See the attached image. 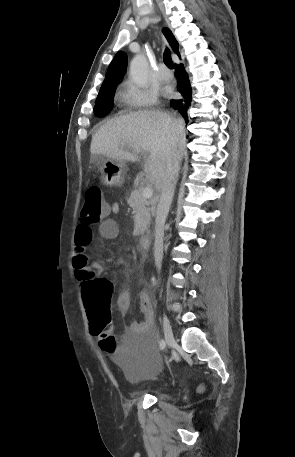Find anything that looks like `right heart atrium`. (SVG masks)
<instances>
[{
  "label": "right heart atrium",
  "instance_id": "d8ad5b80",
  "mask_svg": "<svg viewBox=\"0 0 295 457\" xmlns=\"http://www.w3.org/2000/svg\"><path fill=\"white\" fill-rule=\"evenodd\" d=\"M122 99L131 109L152 107L157 103V92L150 88H141L132 82H126L122 90Z\"/></svg>",
  "mask_w": 295,
  "mask_h": 457
}]
</instances>
